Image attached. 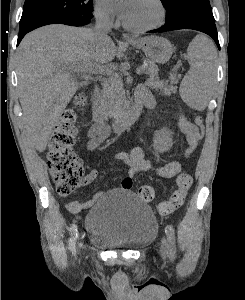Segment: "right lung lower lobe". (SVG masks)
<instances>
[{
    "mask_svg": "<svg viewBox=\"0 0 245 300\" xmlns=\"http://www.w3.org/2000/svg\"><path fill=\"white\" fill-rule=\"evenodd\" d=\"M91 21H92V18L91 19H80V20H76V21H59L56 23L70 25V26H83V25L89 24ZM26 33H28V32H26ZM26 33L19 34L17 45L20 43V41L22 40V38L25 36Z\"/></svg>",
    "mask_w": 245,
    "mask_h": 300,
    "instance_id": "right-lung-lower-lobe-1",
    "label": "right lung lower lobe"
}]
</instances>
